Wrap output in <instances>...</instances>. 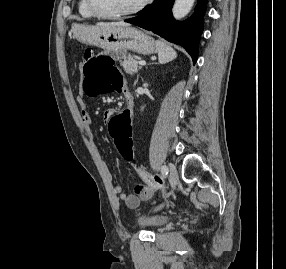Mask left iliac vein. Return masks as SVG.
I'll list each match as a JSON object with an SVG mask.
<instances>
[{"label":"left iliac vein","instance_id":"obj_1","mask_svg":"<svg viewBox=\"0 0 286 269\" xmlns=\"http://www.w3.org/2000/svg\"><path fill=\"white\" fill-rule=\"evenodd\" d=\"M168 170L172 185L176 187L178 184V174L175 165L173 163H169Z\"/></svg>","mask_w":286,"mask_h":269}]
</instances>
